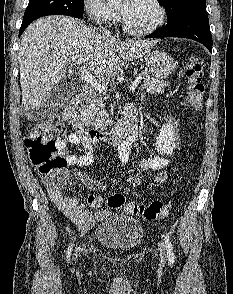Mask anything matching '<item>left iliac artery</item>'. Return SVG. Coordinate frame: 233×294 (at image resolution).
<instances>
[{
  "label": "left iliac artery",
  "instance_id": "obj_1",
  "mask_svg": "<svg viewBox=\"0 0 233 294\" xmlns=\"http://www.w3.org/2000/svg\"><path fill=\"white\" fill-rule=\"evenodd\" d=\"M164 239H165V245H166V248H167L168 261H169L170 264H173L175 256H174L173 246L171 244L168 233L164 234Z\"/></svg>",
  "mask_w": 233,
  "mask_h": 294
}]
</instances>
